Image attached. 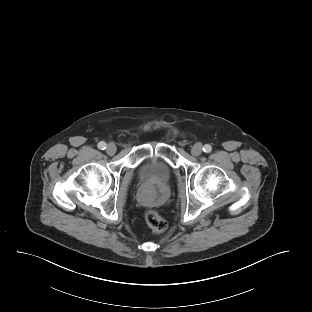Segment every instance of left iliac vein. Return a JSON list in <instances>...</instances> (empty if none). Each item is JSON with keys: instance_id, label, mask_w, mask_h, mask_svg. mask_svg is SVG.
Instances as JSON below:
<instances>
[{"instance_id": "1", "label": "left iliac vein", "mask_w": 312, "mask_h": 312, "mask_svg": "<svg viewBox=\"0 0 312 312\" xmlns=\"http://www.w3.org/2000/svg\"><path fill=\"white\" fill-rule=\"evenodd\" d=\"M202 153V145L200 143H196L191 148V154L193 156H199Z\"/></svg>"}]
</instances>
